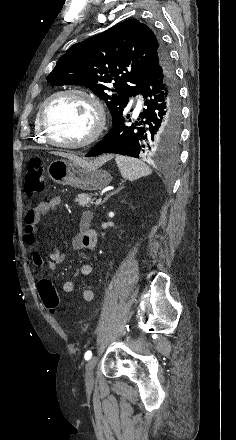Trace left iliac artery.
<instances>
[{"label":"left iliac artery","instance_id":"obj_1","mask_svg":"<svg viewBox=\"0 0 236 440\" xmlns=\"http://www.w3.org/2000/svg\"><path fill=\"white\" fill-rule=\"evenodd\" d=\"M92 357V352L91 351H87L84 355L85 360H89Z\"/></svg>","mask_w":236,"mask_h":440}]
</instances>
